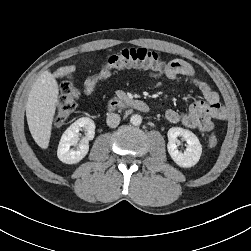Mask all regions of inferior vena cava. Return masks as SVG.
Returning <instances> with one entry per match:
<instances>
[{
  "mask_svg": "<svg viewBox=\"0 0 251 251\" xmlns=\"http://www.w3.org/2000/svg\"><path fill=\"white\" fill-rule=\"evenodd\" d=\"M106 122H107V125L109 127L115 128L120 123V116L118 114H115V113L108 114Z\"/></svg>",
  "mask_w": 251,
  "mask_h": 251,
  "instance_id": "602c4592",
  "label": "inferior vena cava"
}]
</instances>
